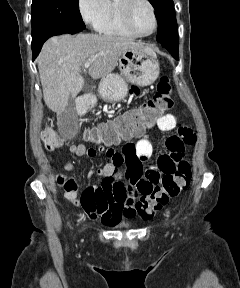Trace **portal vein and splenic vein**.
<instances>
[{"instance_id":"obj_1","label":"portal vein and splenic vein","mask_w":240,"mask_h":288,"mask_svg":"<svg viewBox=\"0 0 240 288\" xmlns=\"http://www.w3.org/2000/svg\"><path fill=\"white\" fill-rule=\"evenodd\" d=\"M91 62H92L91 60L86 61V62L84 63V68H85V69L89 68L90 65H91Z\"/></svg>"}]
</instances>
